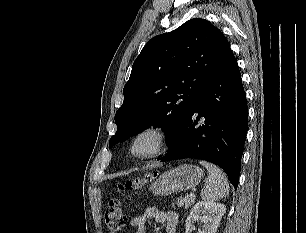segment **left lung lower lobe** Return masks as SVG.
I'll use <instances>...</instances> for the list:
<instances>
[{
  "mask_svg": "<svg viewBox=\"0 0 306 233\" xmlns=\"http://www.w3.org/2000/svg\"><path fill=\"white\" fill-rule=\"evenodd\" d=\"M200 117L204 122L199 124ZM248 126V108L240 71L232 51L212 77L188 118L157 160L200 158L220 166L235 189Z\"/></svg>",
  "mask_w": 306,
  "mask_h": 233,
  "instance_id": "1",
  "label": "left lung lower lobe"
}]
</instances>
